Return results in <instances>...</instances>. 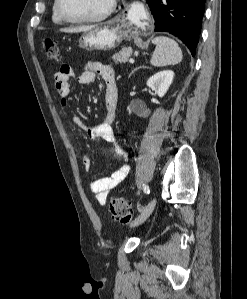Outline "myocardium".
<instances>
[{
	"label": "myocardium",
	"instance_id": "1",
	"mask_svg": "<svg viewBox=\"0 0 247 299\" xmlns=\"http://www.w3.org/2000/svg\"><path fill=\"white\" fill-rule=\"evenodd\" d=\"M56 1V11L60 18L64 22L72 23V24H82V23H96L105 20L110 16V14L114 11L116 6V0H111L109 6L100 14L93 17H83V18H74L67 15L63 9V0H55Z\"/></svg>",
	"mask_w": 247,
	"mask_h": 299
}]
</instances>
